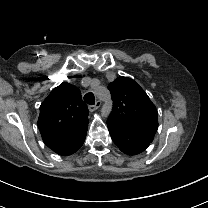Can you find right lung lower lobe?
I'll list each match as a JSON object with an SVG mask.
<instances>
[{"label":"right lung lower lobe","instance_id":"right-lung-lower-lobe-1","mask_svg":"<svg viewBox=\"0 0 208 208\" xmlns=\"http://www.w3.org/2000/svg\"><path fill=\"white\" fill-rule=\"evenodd\" d=\"M87 128L88 126L71 137L59 141H53L46 145L59 155H71L83 145L86 138Z\"/></svg>","mask_w":208,"mask_h":208}]
</instances>
